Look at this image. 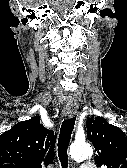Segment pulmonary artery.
<instances>
[{
    "label": "pulmonary artery",
    "instance_id": "obj_1",
    "mask_svg": "<svg viewBox=\"0 0 127 168\" xmlns=\"http://www.w3.org/2000/svg\"><path fill=\"white\" fill-rule=\"evenodd\" d=\"M79 168H95V166L91 163H83Z\"/></svg>",
    "mask_w": 127,
    "mask_h": 168
}]
</instances>
